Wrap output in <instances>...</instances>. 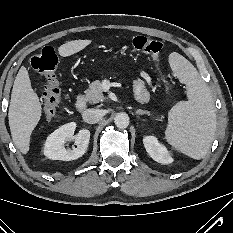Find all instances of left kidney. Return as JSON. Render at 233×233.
<instances>
[{"instance_id":"obj_1","label":"left kidney","mask_w":233,"mask_h":233,"mask_svg":"<svg viewBox=\"0 0 233 233\" xmlns=\"http://www.w3.org/2000/svg\"><path fill=\"white\" fill-rule=\"evenodd\" d=\"M143 144L149 156L161 164H170L173 162L169 151L165 146L160 144L154 136H146Z\"/></svg>"}]
</instances>
